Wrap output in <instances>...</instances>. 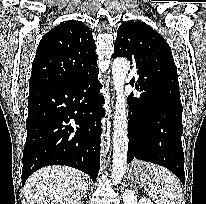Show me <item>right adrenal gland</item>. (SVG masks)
Segmentation results:
<instances>
[{
  "label": "right adrenal gland",
  "mask_w": 206,
  "mask_h": 204,
  "mask_svg": "<svg viewBox=\"0 0 206 204\" xmlns=\"http://www.w3.org/2000/svg\"><path fill=\"white\" fill-rule=\"evenodd\" d=\"M87 194H89V191L87 192ZM87 194L85 195V199H86V197H87Z\"/></svg>",
  "instance_id": "2a0ac1e0"
}]
</instances>
